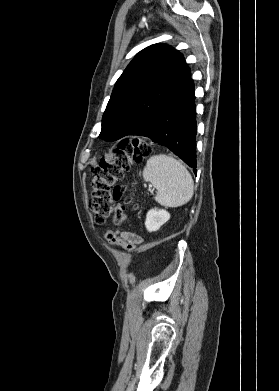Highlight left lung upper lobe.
<instances>
[{
    "label": "left lung upper lobe",
    "mask_w": 279,
    "mask_h": 391,
    "mask_svg": "<svg viewBox=\"0 0 279 391\" xmlns=\"http://www.w3.org/2000/svg\"><path fill=\"white\" fill-rule=\"evenodd\" d=\"M192 83L183 55L165 44L140 51L117 80L102 118L99 138L137 134Z\"/></svg>",
    "instance_id": "obj_1"
}]
</instances>
